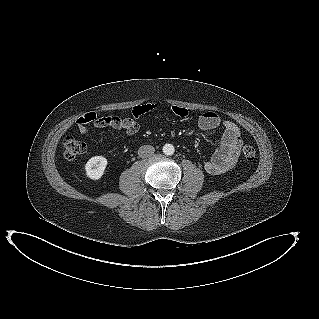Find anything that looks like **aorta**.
Instances as JSON below:
<instances>
[{"mask_svg": "<svg viewBox=\"0 0 319 319\" xmlns=\"http://www.w3.org/2000/svg\"><path fill=\"white\" fill-rule=\"evenodd\" d=\"M175 152L174 146L172 144H165L163 146V153L165 155H173Z\"/></svg>", "mask_w": 319, "mask_h": 319, "instance_id": "1", "label": "aorta"}]
</instances>
